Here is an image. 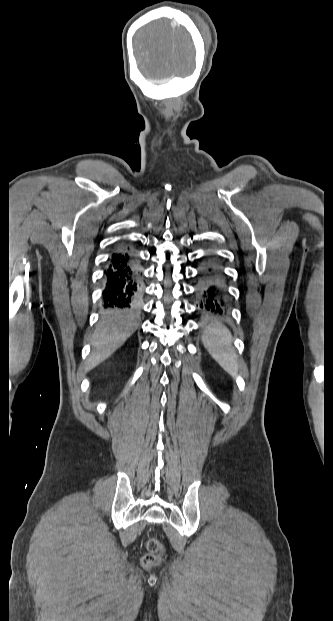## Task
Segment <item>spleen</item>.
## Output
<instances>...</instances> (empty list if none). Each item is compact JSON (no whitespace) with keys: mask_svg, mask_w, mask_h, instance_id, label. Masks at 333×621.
Listing matches in <instances>:
<instances>
[{"mask_svg":"<svg viewBox=\"0 0 333 621\" xmlns=\"http://www.w3.org/2000/svg\"><path fill=\"white\" fill-rule=\"evenodd\" d=\"M202 343L212 358L229 374L239 370L237 354L232 346L230 331L220 322H212L203 330Z\"/></svg>","mask_w":333,"mask_h":621,"instance_id":"3e777b00","label":"spleen"}]
</instances>
